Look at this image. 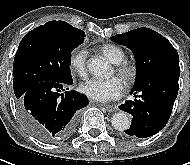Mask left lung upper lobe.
Returning a JSON list of instances; mask_svg holds the SVG:
<instances>
[{"label": "left lung upper lobe", "instance_id": "1", "mask_svg": "<svg viewBox=\"0 0 190 165\" xmlns=\"http://www.w3.org/2000/svg\"><path fill=\"white\" fill-rule=\"evenodd\" d=\"M113 41L127 46L137 62V80L134 86L148 77L164 72H180L179 56L171 43L149 28H139L113 36Z\"/></svg>", "mask_w": 190, "mask_h": 165}]
</instances>
